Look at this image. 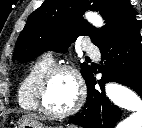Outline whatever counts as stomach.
I'll use <instances>...</instances> for the list:
<instances>
[{"label": "stomach", "instance_id": "obj_1", "mask_svg": "<svg viewBox=\"0 0 142 128\" xmlns=\"http://www.w3.org/2000/svg\"><path fill=\"white\" fill-rule=\"evenodd\" d=\"M62 128L61 126L57 127H47L41 123L38 119L35 118H25L19 121L17 128Z\"/></svg>", "mask_w": 142, "mask_h": 128}]
</instances>
